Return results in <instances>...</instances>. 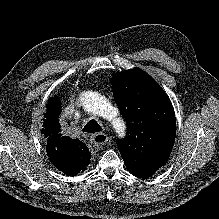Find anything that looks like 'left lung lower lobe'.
Masks as SVG:
<instances>
[{"instance_id":"left-lung-lower-lobe-1","label":"left lung lower lobe","mask_w":219,"mask_h":219,"mask_svg":"<svg viewBox=\"0 0 219 219\" xmlns=\"http://www.w3.org/2000/svg\"><path fill=\"white\" fill-rule=\"evenodd\" d=\"M131 174L136 177L147 178L153 175L158 169L156 168H140V169H128Z\"/></svg>"}]
</instances>
